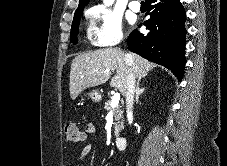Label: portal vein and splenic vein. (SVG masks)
<instances>
[{
  "instance_id": "1",
  "label": "portal vein and splenic vein",
  "mask_w": 227,
  "mask_h": 166,
  "mask_svg": "<svg viewBox=\"0 0 227 166\" xmlns=\"http://www.w3.org/2000/svg\"><path fill=\"white\" fill-rule=\"evenodd\" d=\"M119 101H120V94L115 93L111 100V107L115 108L119 104Z\"/></svg>"
}]
</instances>
